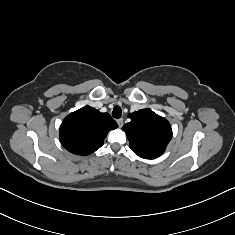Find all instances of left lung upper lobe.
Masks as SVG:
<instances>
[{
  "mask_svg": "<svg viewBox=\"0 0 235 235\" xmlns=\"http://www.w3.org/2000/svg\"><path fill=\"white\" fill-rule=\"evenodd\" d=\"M128 117L131 121L122 130L127 135L132 151L144 159L159 157L172 137L169 122L150 109H141Z\"/></svg>",
  "mask_w": 235,
  "mask_h": 235,
  "instance_id": "5c2ea615",
  "label": "left lung upper lobe"
}]
</instances>
